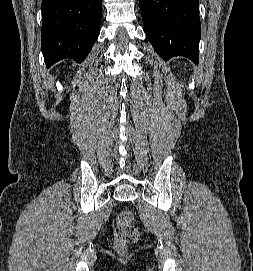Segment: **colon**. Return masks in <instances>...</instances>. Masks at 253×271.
<instances>
[{
	"mask_svg": "<svg viewBox=\"0 0 253 271\" xmlns=\"http://www.w3.org/2000/svg\"><path fill=\"white\" fill-rule=\"evenodd\" d=\"M139 230L134 225V214L130 210L121 211L116 219L114 229V243L118 249H124L127 245L138 241Z\"/></svg>",
	"mask_w": 253,
	"mask_h": 271,
	"instance_id": "colon-1",
	"label": "colon"
}]
</instances>
